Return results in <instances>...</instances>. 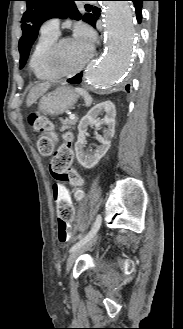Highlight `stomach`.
<instances>
[{
    "label": "stomach",
    "instance_id": "0dacf381",
    "mask_svg": "<svg viewBox=\"0 0 183 329\" xmlns=\"http://www.w3.org/2000/svg\"><path fill=\"white\" fill-rule=\"evenodd\" d=\"M78 99V95L67 86H61L44 95L39 103V111L56 116L71 109Z\"/></svg>",
    "mask_w": 183,
    "mask_h": 329
}]
</instances>
